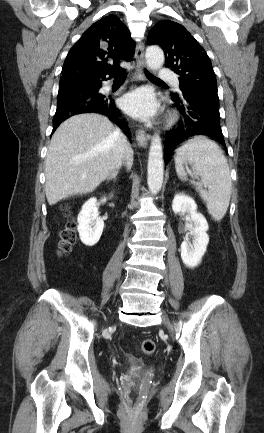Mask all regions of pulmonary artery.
<instances>
[{"label": "pulmonary artery", "instance_id": "pulmonary-artery-1", "mask_svg": "<svg viewBox=\"0 0 264 433\" xmlns=\"http://www.w3.org/2000/svg\"><path fill=\"white\" fill-rule=\"evenodd\" d=\"M159 79L161 80H172L174 86L179 87L178 80L174 79V73L167 68L159 69Z\"/></svg>", "mask_w": 264, "mask_h": 433}]
</instances>
